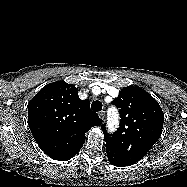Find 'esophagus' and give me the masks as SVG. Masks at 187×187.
I'll return each mask as SVG.
<instances>
[{
    "label": "esophagus",
    "instance_id": "1",
    "mask_svg": "<svg viewBox=\"0 0 187 187\" xmlns=\"http://www.w3.org/2000/svg\"><path fill=\"white\" fill-rule=\"evenodd\" d=\"M98 116H99L100 119L104 120L105 119V111L99 112Z\"/></svg>",
    "mask_w": 187,
    "mask_h": 187
}]
</instances>
